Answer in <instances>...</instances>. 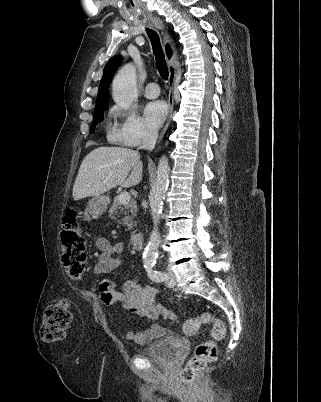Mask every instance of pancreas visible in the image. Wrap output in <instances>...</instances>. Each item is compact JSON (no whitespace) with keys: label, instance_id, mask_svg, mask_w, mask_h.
Returning a JSON list of instances; mask_svg holds the SVG:
<instances>
[{"label":"pancreas","instance_id":"pancreas-1","mask_svg":"<svg viewBox=\"0 0 321 402\" xmlns=\"http://www.w3.org/2000/svg\"><path fill=\"white\" fill-rule=\"evenodd\" d=\"M124 214L121 222L128 227L129 230L133 228V219L136 216L137 205L135 200H130L126 204H122L119 200V195L113 200V204L109 209V216L112 219H116L118 212Z\"/></svg>","mask_w":321,"mask_h":402}]
</instances>
